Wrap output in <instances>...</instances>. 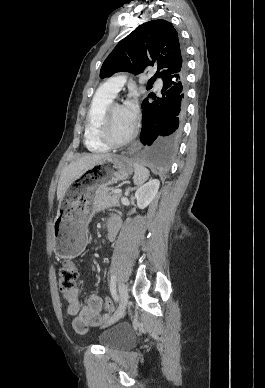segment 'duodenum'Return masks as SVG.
Returning a JSON list of instances; mask_svg holds the SVG:
<instances>
[{
  "label": "duodenum",
  "mask_w": 265,
  "mask_h": 388,
  "mask_svg": "<svg viewBox=\"0 0 265 388\" xmlns=\"http://www.w3.org/2000/svg\"><path fill=\"white\" fill-rule=\"evenodd\" d=\"M115 226H116V223H115L114 220H108L107 221V229H108V231L114 230Z\"/></svg>",
  "instance_id": "410a0bca"
}]
</instances>
